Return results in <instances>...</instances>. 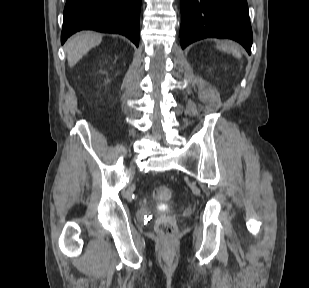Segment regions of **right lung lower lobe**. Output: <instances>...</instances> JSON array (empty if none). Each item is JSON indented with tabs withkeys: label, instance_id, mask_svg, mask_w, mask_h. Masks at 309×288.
Masks as SVG:
<instances>
[{
	"label": "right lung lower lobe",
	"instance_id": "right-lung-lower-lobe-1",
	"mask_svg": "<svg viewBox=\"0 0 309 288\" xmlns=\"http://www.w3.org/2000/svg\"><path fill=\"white\" fill-rule=\"evenodd\" d=\"M141 0H67L61 43L77 31L118 33L139 45Z\"/></svg>",
	"mask_w": 309,
	"mask_h": 288
}]
</instances>
